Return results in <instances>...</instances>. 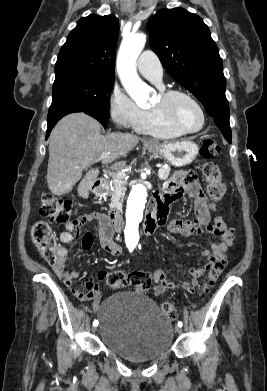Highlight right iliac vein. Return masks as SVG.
<instances>
[{
	"instance_id": "1",
	"label": "right iliac vein",
	"mask_w": 267,
	"mask_h": 391,
	"mask_svg": "<svg viewBox=\"0 0 267 391\" xmlns=\"http://www.w3.org/2000/svg\"><path fill=\"white\" fill-rule=\"evenodd\" d=\"M92 331L95 333L97 331V327H93Z\"/></svg>"
}]
</instances>
